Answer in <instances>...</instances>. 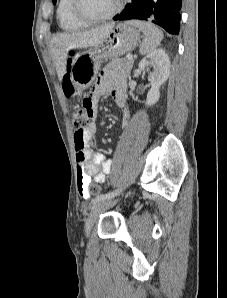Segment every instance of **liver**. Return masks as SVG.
<instances>
[{
	"label": "liver",
	"mask_w": 227,
	"mask_h": 298,
	"mask_svg": "<svg viewBox=\"0 0 227 298\" xmlns=\"http://www.w3.org/2000/svg\"><path fill=\"white\" fill-rule=\"evenodd\" d=\"M114 23L91 30L61 33L50 41L51 55L56 66L58 78L62 81L67 66L68 52L72 49H83L101 43L114 28Z\"/></svg>",
	"instance_id": "6515ba94"
}]
</instances>
